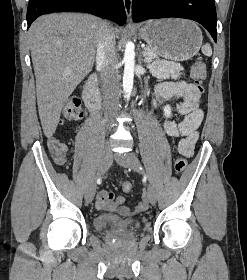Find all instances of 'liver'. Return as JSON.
<instances>
[{
	"label": "liver",
	"instance_id": "6515ba94",
	"mask_svg": "<svg viewBox=\"0 0 247 280\" xmlns=\"http://www.w3.org/2000/svg\"><path fill=\"white\" fill-rule=\"evenodd\" d=\"M101 23L93 15L54 13L30 26L37 105L47 138L55 133L63 105L93 68Z\"/></svg>",
	"mask_w": 247,
	"mask_h": 280
}]
</instances>
